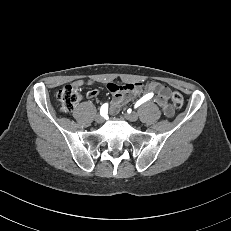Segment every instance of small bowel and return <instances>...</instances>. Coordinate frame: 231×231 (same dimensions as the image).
I'll list each match as a JSON object with an SVG mask.
<instances>
[{
    "label": "small bowel",
    "mask_w": 231,
    "mask_h": 231,
    "mask_svg": "<svg viewBox=\"0 0 231 231\" xmlns=\"http://www.w3.org/2000/svg\"><path fill=\"white\" fill-rule=\"evenodd\" d=\"M86 83L91 84L92 82L84 79H78L74 82V86L81 87ZM107 88L114 95V101L112 102L111 105V112L117 113L124 103L129 101L133 95H136L141 91L142 84L127 83L125 85H118L115 83H109L107 85ZM146 91L148 93H151L152 91L156 92L157 95L156 102L166 116L172 117L174 115V110L169 103L168 87L158 82H150L146 86ZM87 95L89 98H94L98 95V91L96 89L90 90Z\"/></svg>",
    "instance_id": "1"
}]
</instances>
